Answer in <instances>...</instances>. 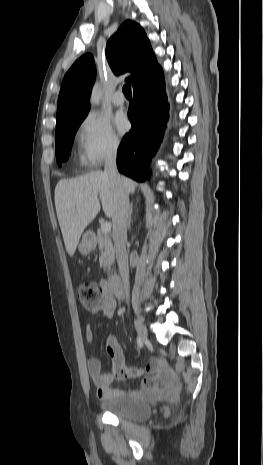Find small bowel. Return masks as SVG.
Segmentation results:
<instances>
[{
    "mask_svg": "<svg viewBox=\"0 0 263 465\" xmlns=\"http://www.w3.org/2000/svg\"><path fill=\"white\" fill-rule=\"evenodd\" d=\"M106 290L102 302L90 309L93 315H101L104 319L111 318L116 309V299L109 285L103 282ZM88 342L94 340V327L88 324L85 331ZM106 352L112 363V372L104 373L102 364L96 357H90L87 368L90 379L97 390L100 399L123 396L126 394L140 396L150 400L173 398L176 396L178 386L172 370L160 359H151L143 369L129 368L125 364V357L121 346L114 337L106 341ZM145 375L139 388L127 390L113 388L115 380L135 378Z\"/></svg>",
    "mask_w": 263,
    "mask_h": 465,
    "instance_id": "obj_1",
    "label": "small bowel"
}]
</instances>
